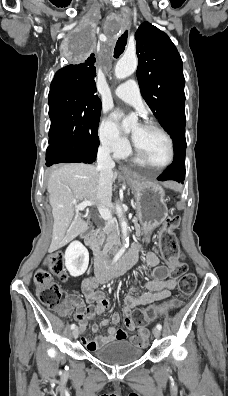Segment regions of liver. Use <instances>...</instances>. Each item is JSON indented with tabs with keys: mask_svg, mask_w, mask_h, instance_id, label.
<instances>
[{
	"mask_svg": "<svg viewBox=\"0 0 228 396\" xmlns=\"http://www.w3.org/2000/svg\"><path fill=\"white\" fill-rule=\"evenodd\" d=\"M100 172L97 167L84 163L65 164L54 170L48 180L47 191L54 218L49 251L53 252L69 243L88 228V222L77 213L78 201H91L106 207L110 200L101 204L97 197ZM117 173L112 174V181Z\"/></svg>",
	"mask_w": 228,
	"mask_h": 396,
	"instance_id": "1",
	"label": "liver"
}]
</instances>
